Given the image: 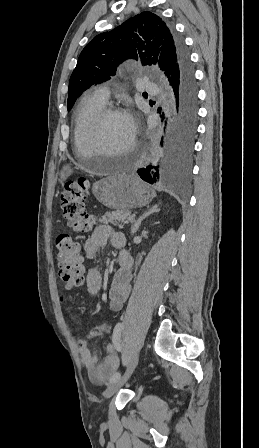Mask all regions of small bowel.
<instances>
[{
    "label": "small bowel",
    "mask_w": 259,
    "mask_h": 448,
    "mask_svg": "<svg viewBox=\"0 0 259 448\" xmlns=\"http://www.w3.org/2000/svg\"><path fill=\"white\" fill-rule=\"evenodd\" d=\"M111 239L112 245L120 251L119 268L113 276V280L108 292L109 307L113 311L122 308L127 300L131 290L132 265L133 259L126 250V240L121 233L113 232L107 225L98 226L92 235L85 241L84 255L87 260H94L100 253L108 239ZM86 288L90 296H95L99 292L102 284V278L96 267H89L86 272ZM70 321L75 322L74 316H70ZM111 331V326L107 324L96 325L91 333L95 336L103 335ZM79 345V354L81 360L88 370L89 378L92 382L102 383L119 366V360L113 353L112 346H106V356L101 363H98V354L93 353L87 346V339L77 336Z\"/></svg>",
    "instance_id": "1"
}]
</instances>
